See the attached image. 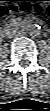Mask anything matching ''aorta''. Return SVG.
I'll list each match as a JSON object with an SVG mask.
<instances>
[{
    "instance_id": "762f6f07",
    "label": "aorta",
    "mask_w": 50,
    "mask_h": 111,
    "mask_svg": "<svg viewBox=\"0 0 50 111\" xmlns=\"http://www.w3.org/2000/svg\"><path fill=\"white\" fill-rule=\"evenodd\" d=\"M27 32L31 36H36L40 34V26L37 24H31L27 28Z\"/></svg>"
}]
</instances>
